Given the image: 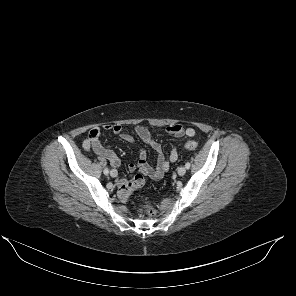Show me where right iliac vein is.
<instances>
[{
  "label": "right iliac vein",
  "instance_id": "right-iliac-vein-1",
  "mask_svg": "<svg viewBox=\"0 0 296 296\" xmlns=\"http://www.w3.org/2000/svg\"><path fill=\"white\" fill-rule=\"evenodd\" d=\"M117 175H118L117 170L112 169V170L110 171V176H111V177H116Z\"/></svg>",
  "mask_w": 296,
  "mask_h": 296
}]
</instances>
